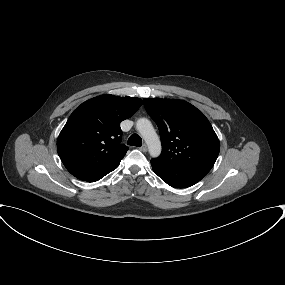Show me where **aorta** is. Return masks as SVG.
<instances>
[{
  "label": "aorta",
  "instance_id": "aorta-1",
  "mask_svg": "<svg viewBox=\"0 0 285 285\" xmlns=\"http://www.w3.org/2000/svg\"><path fill=\"white\" fill-rule=\"evenodd\" d=\"M136 128L145 140L150 155L158 157L161 153V142L151 121L147 118H140L136 122Z\"/></svg>",
  "mask_w": 285,
  "mask_h": 285
}]
</instances>
